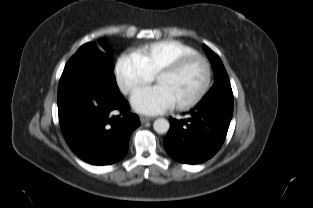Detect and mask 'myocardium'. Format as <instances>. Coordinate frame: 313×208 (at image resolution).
<instances>
[{"mask_svg":"<svg viewBox=\"0 0 313 208\" xmlns=\"http://www.w3.org/2000/svg\"><path fill=\"white\" fill-rule=\"evenodd\" d=\"M194 61L201 62L203 67H204V72H205L204 82H203L200 90L198 91V93L195 96H193L192 98H190L187 101L175 104V107L179 110H186V109H189V108L195 106L204 98V96L208 92L210 85H211V80H212V71H211V65H210L209 61L207 60V58H205L204 56L197 54V53L185 55V56H181V57L177 58L176 60H174L173 62H171L167 65H164L155 74V80L160 75L175 74V73L179 72L180 70H182L184 67H186L188 64H190Z\"/></svg>","mask_w":313,"mask_h":208,"instance_id":"f54148a6","label":"myocardium"}]
</instances>
